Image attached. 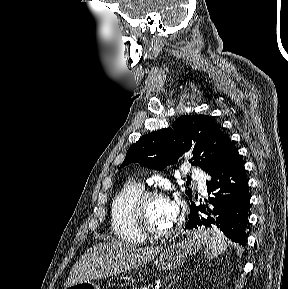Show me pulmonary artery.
<instances>
[{
    "label": "pulmonary artery",
    "mask_w": 288,
    "mask_h": 289,
    "mask_svg": "<svg viewBox=\"0 0 288 289\" xmlns=\"http://www.w3.org/2000/svg\"><path fill=\"white\" fill-rule=\"evenodd\" d=\"M188 175L197 181L200 190L204 191L206 189L207 177L202 171L189 167Z\"/></svg>",
    "instance_id": "e3ab8cb5"
}]
</instances>
